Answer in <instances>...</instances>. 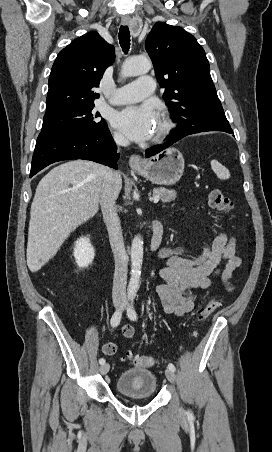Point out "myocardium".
I'll return each instance as SVG.
<instances>
[{
    "label": "myocardium",
    "mask_w": 272,
    "mask_h": 452,
    "mask_svg": "<svg viewBox=\"0 0 272 452\" xmlns=\"http://www.w3.org/2000/svg\"><path fill=\"white\" fill-rule=\"evenodd\" d=\"M173 128V123L169 117L162 115L159 130L156 132L153 141L159 142L169 135Z\"/></svg>",
    "instance_id": "obj_1"
}]
</instances>
